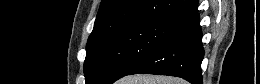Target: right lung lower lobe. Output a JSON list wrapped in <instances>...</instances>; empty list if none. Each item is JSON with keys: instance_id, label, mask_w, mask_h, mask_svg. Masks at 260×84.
Wrapping results in <instances>:
<instances>
[{"instance_id": "98d812e1", "label": "right lung lower lobe", "mask_w": 260, "mask_h": 84, "mask_svg": "<svg viewBox=\"0 0 260 84\" xmlns=\"http://www.w3.org/2000/svg\"><path fill=\"white\" fill-rule=\"evenodd\" d=\"M198 11L174 25L162 41L125 75L149 73L184 78L202 84L204 56Z\"/></svg>"}]
</instances>
